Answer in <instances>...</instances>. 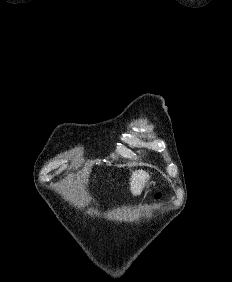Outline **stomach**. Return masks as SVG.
I'll use <instances>...</instances> for the list:
<instances>
[{"label": "stomach", "mask_w": 232, "mask_h": 282, "mask_svg": "<svg viewBox=\"0 0 232 282\" xmlns=\"http://www.w3.org/2000/svg\"><path fill=\"white\" fill-rule=\"evenodd\" d=\"M152 184H153V182L149 181V179H148V181L146 182L144 187H146L148 189L150 186H152Z\"/></svg>", "instance_id": "1"}]
</instances>
